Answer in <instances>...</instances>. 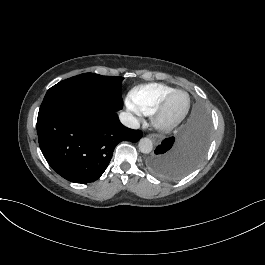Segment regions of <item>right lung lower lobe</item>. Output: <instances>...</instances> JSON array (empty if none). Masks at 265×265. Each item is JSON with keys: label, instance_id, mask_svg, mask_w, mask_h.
Returning <instances> with one entry per match:
<instances>
[{"label": "right lung lower lobe", "instance_id": "right-lung-lower-lobe-1", "mask_svg": "<svg viewBox=\"0 0 265 265\" xmlns=\"http://www.w3.org/2000/svg\"><path fill=\"white\" fill-rule=\"evenodd\" d=\"M37 133L48 164L74 183L97 180L119 142H137L143 136L140 130L122 125L116 112L99 110L72 98L41 105Z\"/></svg>", "mask_w": 265, "mask_h": 265}]
</instances>
